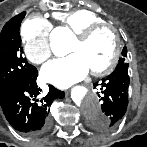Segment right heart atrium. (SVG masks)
I'll use <instances>...</instances> for the list:
<instances>
[{"mask_svg":"<svg viewBox=\"0 0 147 147\" xmlns=\"http://www.w3.org/2000/svg\"><path fill=\"white\" fill-rule=\"evenodd\" d=\"M52 26L45 18L34 16L27 19L21 27L24 53L34 64H42L51 56L50 32Z\"/></svg>","mask_w":147,"mask_h":147,"instance_id":"d8ad5b80","label":"right heart atrium"}]
</instances>
